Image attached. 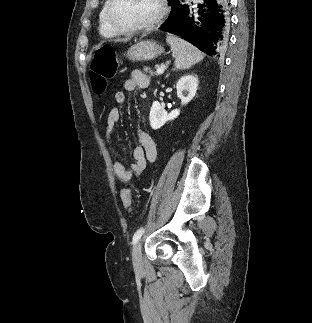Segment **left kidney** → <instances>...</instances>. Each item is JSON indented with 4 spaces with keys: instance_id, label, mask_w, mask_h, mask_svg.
I'll list each match as a JSON object with an SVG mask.
<instances>
[{
    "instance_id": "left-kidney-1",
    "label": "left kidney",
    "mask_w": 312,
    "mask_h": 323,
    "mask_svg": "<svg viewBox=\"0 0 312 323\" xmlns=\"http://www.w3.org/2000/svg\"><path fill=\"white\" fill-rule=\"evenodd\" d=\"M177 96L181 100L182 106L188 104L193 100L196 90L198 88L197 76H182L176 84ZM180 110H172L170 114L165 112L164 106H161L159 102H153L151 112L149 114L150 126L153 130H159L169 120H175L178 118Z\"/></svg>"
}]
</instances>
